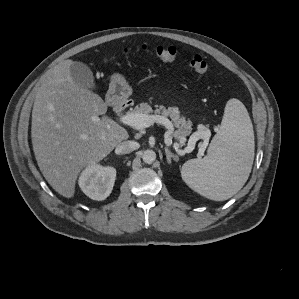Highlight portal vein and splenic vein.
I'll list each match as a JSON object with an SVG mask.
<instances>
[{"label": "portal vein and splenic vein", "instance_id": "1", "mask_svg": "<svg viewBox=\"0 0 299 299\" xmlns=\"http://www.w3.org/2000/svg\"><path fill=\"white\" fill-rule=\"evenodd\" d=\"M119 122L124 125H128L134 127L136 129H143L150 127L154 123L161 124L168 129L165 133V143L169 146L172 144V140L170 139V135L173 133V124L171 121L161 115H146V114H137V113H127L125 115H121L118 118ZM194 144L189 142V146L186 148V152H191L194 149ZM204 149L199 150V155L202 156Z\"/></svg>", "mask_w": 299, "mask_h": 299}]
</instances>
